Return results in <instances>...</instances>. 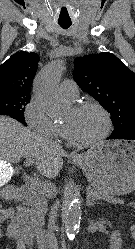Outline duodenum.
Here are the masks:
<instances>
[{"instance_id":"1","label":"duodenum","mask_w":135,"mask_h":249,"mask_svg":"<svg viewBox=\"0 0 135 249\" xmlns=\"http://www.w3.org/2000/svg\"><path fill=\"white\" fill-rule=\"evenodd\" d=\"M2 196L8 201H23L27 203L33 198V191L29 187L19 186L6 189ZM25 225L28 229H31L28 222H25ZM43 243L44 241L42 240L41 233H39L34 239L33 245L35 247H40Z\"/></svg>"}]
</instances>
